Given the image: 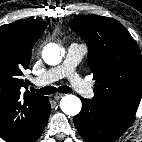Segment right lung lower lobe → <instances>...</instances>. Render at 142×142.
<instances>
[{"instance_id": "right-lung-lower-lobe-1", "label": "right lung lower lobe", "mask_w": 142, "mask_h": 142, "mask_svg": "<svg viewBox=\"0 0 142 142\" xmlns=\"http://www.w3.org/2000/svg\"><path fill=\"white\" fill-rule=\"evenodd\" d=\"M49 114H50V104L48 101L47 109H46L43 117L37 123V126L34 129V131L31 133V135L28 136L23 142H35L40 137V135L42 134L43 129L47 123V120L49 118Z\"/></svg>"}]
</instances>
